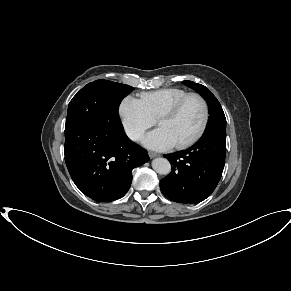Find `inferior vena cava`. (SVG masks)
<instances>
[{
	"mask_svg": "<svg viewBox=\"0 0 291 291\" xmlns=\"http://www.w3.org/2000/svg\"><path fill=\"white\" fill-rule=\"evenodd\" d=\"M127 134L129 136V138L132 140H138L142 135V133L140 131L135 130V129L129 130Z\"/></svg>",
	"mask_w": 291,
	"mask_h": 291,
	"instance_id": "inferior-vena-cava-1",
	"label": "inferior vena cava"
}]
</instances>
